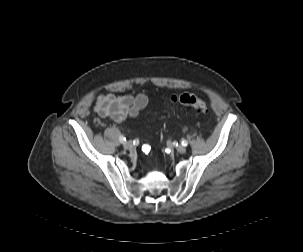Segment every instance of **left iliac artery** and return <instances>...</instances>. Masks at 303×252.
Returning a JSON list of instances; mask_svg holds the SVG:
<instances>
[{
    "mask_svg": "<svg viewBox=\"0 0 303 252\" xmlns=\"http://www.w3.org/2000/svg\"><path fill=\"white\" fill-rule=\"evenodd\" d=\"M181 144H182L183 146H187V145H188V141H186L185 139H183V140L181 141Z\"/></svg>",
    "mask_w": 303,
    "mask_h": 252,
    "instance_id": "left-iliac-artery-1",
    "label": "left iliac artery"
}]
</instances>
